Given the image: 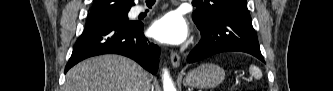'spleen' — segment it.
<instances>
[{"mask_svg":"<svg viewBox=\"0 0 333 91\" xmlns=\"http://www.w3.org/2000/svg\"><path fill=\"white\" fill-rule=\"evenodd\" d=\"M249 73L251 74V76H253L255 79H260L262 77V72L261 70L255 66V65H251L249 67Z\"/></svg>","mask_w":333,"mask_h":91,"instance_id":"3e777b00","label":"spleen"}]
</instances>
